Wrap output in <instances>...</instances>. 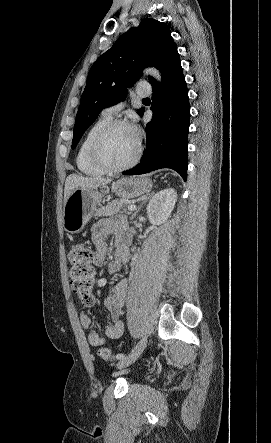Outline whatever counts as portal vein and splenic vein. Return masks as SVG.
I'll use <instances>...</instances> for the list:
<instances>
[{
  "mask_svg": "<svg viewBox=\"0 0 271 443\" xmlns=\"http://www.w3.org/2000/svg\"><path fill=\"white\" fill-rule=\"evenodd\" d=\"M128 210L129 212H133V210H136L135 204H133V206H128Z\"/></svg>",
  "mask_w": 271,
  "mask_h": 443,
  "instance_id": "18ae733b",
  "label": "portal vein and splenic vein"
}]
</instances>
